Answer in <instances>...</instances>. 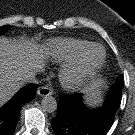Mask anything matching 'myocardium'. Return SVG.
Here are the masks:
<instances>
[{
	"label": "myocardium",
	"mask_w": 135,
	"mask_h": 135,
	"mask_svg": "<svg viewBox=\"0 0 135 135\" xmlns=\"http://www.w3.org/2000/svg\"><path fill=\"white\" fill-rule=\"evenodd\" d=\"M95 47L101 49L102 55L98 61L91 62L90 52ZM105 58L106 52L102 45L97 43L88 45L78 58L61 70L59 77L62 85L69 90L82 87L96 75L104 64Z\"/></svg>",
	"instance_id": "obj_1"
}]
</instances>
